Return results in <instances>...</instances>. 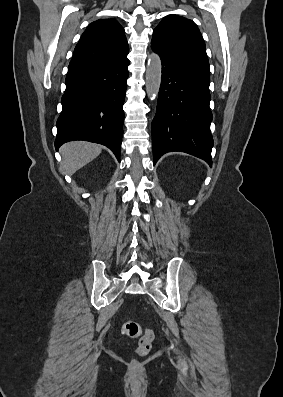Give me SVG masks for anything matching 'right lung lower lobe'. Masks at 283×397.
<instances>
[{"label":"right lung lower lobe","instance_id":"98d812e1","mask_svg":"<svg viewBox=\"0 0 283 397\" xmlns=\"http://www.w3.org/2000/svg\"><path fill=\"white\" fill-rule=\"evenodd\" d=\"M129 60L66 77L55 148L85 140L107 146L120 161Z\"/></svg>","mask_w":283,"mask_h":397}]
</instances>
